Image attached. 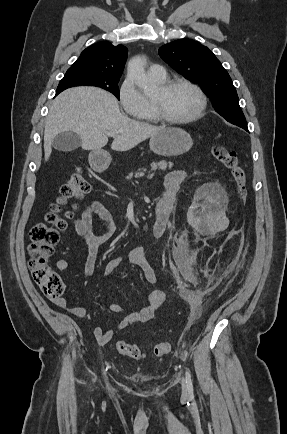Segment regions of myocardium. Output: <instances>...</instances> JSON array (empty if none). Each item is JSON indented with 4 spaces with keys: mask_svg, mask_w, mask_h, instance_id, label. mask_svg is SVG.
Returning a JSON list of instances; mask_svg holds the SVG:
<instances>
[{
    "mask_svg": "<svg viewBox=\"0 0 287 434\" xmlns=\"http://www.w3.org/2000/svg\"><path fill=\"white\" fill-rule=\"evenodd\" d=\"M177 86H186L195 92V94L198 97L197 109L195 110V112L192 115H190L188 117L175 119V118H172L166 114L162 105L158 101L152 99V103H153L154 110H155L157 117L160 120H162L168 124H172V125H183V124H188V123H191L193 121H196L197 119H199L203 115V113L206 109V105H207L206 95L204 94V92L202 91V89L198 85H196L195 83H193L187 79H182V78L169 79V80L164 81L160 84V88L163 91H169V90H171Z\"/></svg>",
    "mask_w": 287,
    "mask_h": 434,
    "instance_id": "obj_1",
    "label": "myocardium"
}]
</instances>
